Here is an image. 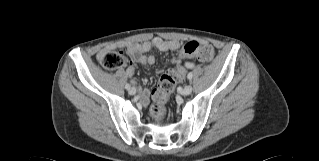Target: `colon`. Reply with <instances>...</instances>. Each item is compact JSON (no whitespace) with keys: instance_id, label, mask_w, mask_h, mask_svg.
<instances>
[{"instance_id":"colon-1","label":"colon","mask_w":319,"mask_h":161,"mask_svg":"<svg viewBox=\"0 0 319 161\" xmlns=\"http://www.w3.org/2000/svg\"><path fill=\"white\" fill-rule=\"evenodd\" d=\"M201 61H211L215 57L213 48L205 46L200 48V44L196 40H190L182 46V56L188 57L194 56ZM128 62L127 56L121 51H107L100 57L101 65L110 71L121 69ZM182 68L176 67L167 71L160 79L157 88L154 90L153 98L154 104L152 108L153 116L158 120H163L166 116V104L168 102L170 93L179 85L182 81Z\"/></svg>"}]
</instances>
